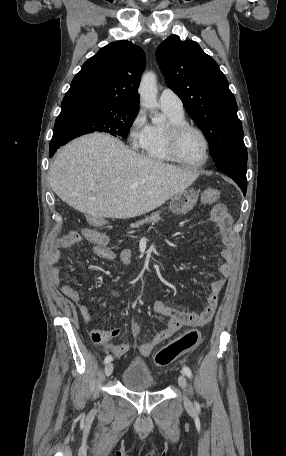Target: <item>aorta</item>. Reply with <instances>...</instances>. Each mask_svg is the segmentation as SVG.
Instances as JSON below:
<instances>
[{"label":"aorta","instance_id":"1","mask_svg":"<svg viewBox=\"0 0 286 456\" xmlns=\"http://www.w3.org/2000/svg\"><path fill=\"white\" fill-rule=\"evenodd\" d=\"M138 93L140 95L141 105L148 109H154L158 106L157 103V86L156 75L152 72H147L142 76ZM162 119L156 117L154 122H160Z\"/></svg>","mask_w":286,"mask_h":456}]
</instances>
